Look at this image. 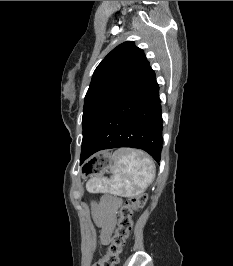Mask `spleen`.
<instances>
[{
  "mask_svg": "<svg viewBox=\"0 0 233 266\" xmlns=\"http://www.w3.org/2000/svg\"><path fill=\"white\" fill-rule=\"evenodd\" d=\"M113 173L111 180L92 178L86 188L91 193H110L119 196H135L143 193L155 177V165L140 151L118 149L111 156Z\"/></svg>",
  "mask_w": 233,
  "mask_h": 266,
  "instance_id": "spleen-1",
  "label": "spleen"
}]
</instances>
